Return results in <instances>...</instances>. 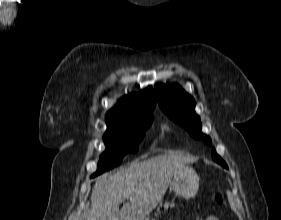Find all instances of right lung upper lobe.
I'll list each match as a JSON object with an SVG mask.
<instances>
[{"label":"right lung upper lobe","mask_w":281,"mask_h":220,"mask_svg":"<svg viewBox=\"0 0 281 220\" xmlns=\"http://www.w3.org/2000/svg\"><path fill=\"white\" fill-rule=\"evenodd\" d=\"M156 106L154 91L151 86L139 93H131L122 97L117 105L106 114L108 127H115L146 116H153Z\"/></svg>","instance_id":"obj_1"}]
</instances>
